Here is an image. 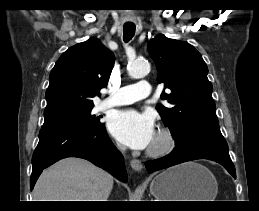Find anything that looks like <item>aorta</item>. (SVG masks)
I'll use <instances>...</instances> for the list:
<instances>
[{"label": "aorta", "instance_id": "1", "mask_svg": "<svg viewBox=\"0 0 259 211\" xmlns=\"http://www.w3.org/2000/svg\"><path fill=\"white\" fill-rule=\"evenodd\" d=\"M150 72V64L145 60L132 62L128 66V74L135 79L143 78Z\"/></svg>", "mask_w": 259, "mask_h": 211}]
</instances>
